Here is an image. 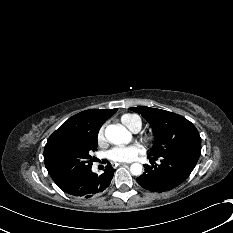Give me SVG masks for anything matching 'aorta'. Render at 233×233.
<instances>
[{"label":"aorta","instance_id":"obj_1","mask_svg":"<svg viewBox=\"0 0 233 233\" xmlns=\"http://www.w3.org/2000/svg\"><path fill=\"white\" fill-rule=\"evenodd\" d=\"M105 137L111 143L115 145L128 144L131 141V134L122 125H109L105 129ZM143 166L140 163H133L130 166V172L132 175L139 176L142 174Z\"/></svg>","mask_w":233,"mask_h":233}]
</instances>
